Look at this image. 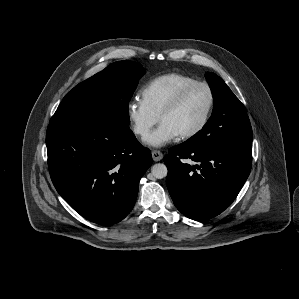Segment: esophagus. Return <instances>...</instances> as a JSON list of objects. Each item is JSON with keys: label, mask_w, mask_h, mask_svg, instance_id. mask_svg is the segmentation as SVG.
Wrapping results in <instances>:
<instances>
[{"label": "esophagus", "mask_w": 299, "mask_h": 299, "mask_svg": "<svg viewBox=\"0 0 299 299\" xmlns=\"http://www.w3.org/2000/svg\"><path fill=\"white\" fill-rule=\"evenodd\" d=\"M152 158L154 161L158 162L163 159V154L158 150L152 151Z\"/></svg>", "instance_id": "34e87169"}]
</instances>
